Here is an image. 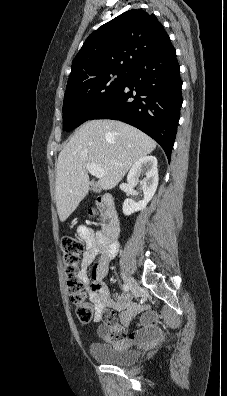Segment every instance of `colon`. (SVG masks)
<instances>
[{"instance_id": "colon-1", "label": "colon", "mask_w": 227, "mask_h": 396, "mask_svg": "<svg viewBox=\"0 0 227 396\" xmlns=\"http://www.w3.org/2000/svg\"><path fill=\"white\" fill-rule=\"evenodd\" d=\"M98 205H101L100 198ZM85 249L84 242L74 236H66L61 241L62 262L66 277V286L73 303L76 315L83 323H88L94 315V305L86 301L84 284L78 277V263Z\"/></svg>"}]
</instances>
